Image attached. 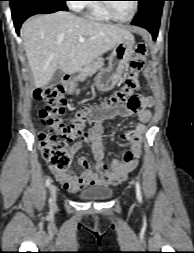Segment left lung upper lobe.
<instances>
[{
	"mask_svg": "<svg viewBox=\"0 0 194 253\" xmlns=\"http://www.w3.org/2000/svg\"><path fill=\"white\" fill-rule=\"evenodd\" d=\"M139 2V5H141L143 2H145L146 0H137Z\"/></svg>",
	"mask_w": 194,
	"mask_h": 253,
	"instance_id": "5c2ea615",
	"label": "left lung upper lobe"
}]
</instances>
